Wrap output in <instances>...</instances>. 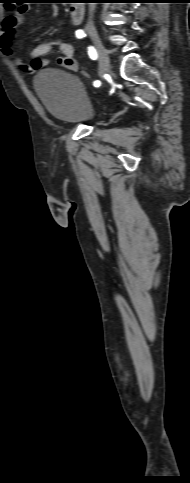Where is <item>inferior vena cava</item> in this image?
<instances>
[{
    "instance_id": "obj_1",
    "label": "inferior vena cava",
    "mask_w": 190,
    "mask_h": 483,
    "mask_svg": "<svg viewBox=\"0 0 190 483\" xmlns=\"http://www.w3.org/2000/svg\"><path fill=\"white\" fill-rule=\"evenodd\" d=\"M95 7H96V4L95 3H89V14H90V17H89V22L87 24L88 27H93V22H92V16H93V12L95 10Z\"/></svg>"
}]
</instances>
